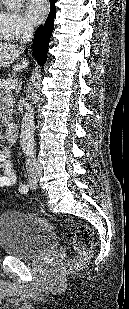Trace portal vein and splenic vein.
I'll return each instance as SVG.
<instances>
[{
    "label": "portal vein and splenic vein",
    "mask_w": 129,
    "mask_h": 309,
    "mask_svg": "<svg viewBox=\"0 0 129 309\" xmlns=\"http://www.w3.org/2000/svg\"><path fill=\"white\" fill-rule=\"evenodd\" d=\"M17 84H18V82H17L16 79H9V80H7L5 82V87L7 89H11L12 90V89H15L17 87Z\"/></svg>",
    "instance_id": "obj_1"
}]
</instances>
